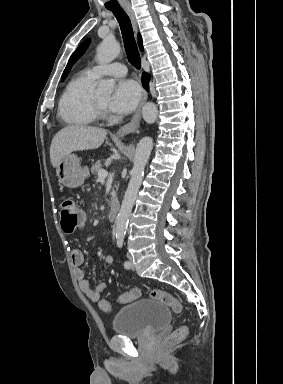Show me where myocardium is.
I'll list each match as a JSON object with an SVG mask.
<instances>
[{
	"mask_svg": "<svg viewBox=\"0 0 283 384\" xmlns=\"http://www.w3.org/2000/svg\"><path fill=\"white\" fill-rule=\"evenodd\" d=\"M91 108L94 116L100 120H106L110 117L107 110H105L94 98L91 97Z\"/></svg>",
	"mask_w": 283,
	"mask_h": 384,
	"instance_id": "obj_1",
	"label": "myocardium"
}]
</instances>
